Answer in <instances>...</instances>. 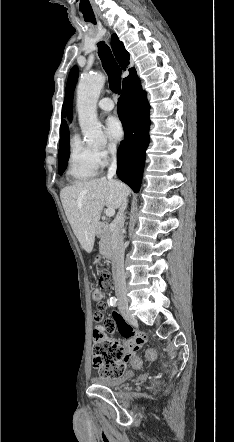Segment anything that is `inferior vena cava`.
<instances>
[{
  "label": "inferior vena cava",
  "instance_id": "inferior-vena-cava-1",
  "mask_svg": "<svg viewBox=\"0 0 234 442\" xmlns=\"http://www.w3.org/2000/svg\"><path fill=\"white\" fill-rule=\"evenodd\" d=\"M116 151L111 150L112 163L109 167L107 178L112 179L116 174L117 161H116ZM127 207V199L124 198L119 209V212L113 222L111 229V244H112V273L115 285V293L119 299L127 300V289H126V277L124 273V251L125 246L123 242V228H124V210Z\"/></svg>",
  "mask_w": 234,
  "mask_h": 442
}]
</instances>
